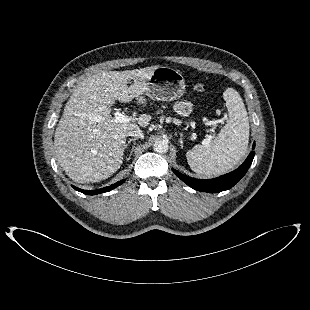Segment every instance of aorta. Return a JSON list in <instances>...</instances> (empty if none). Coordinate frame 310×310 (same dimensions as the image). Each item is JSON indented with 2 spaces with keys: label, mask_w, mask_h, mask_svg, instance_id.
<instances>
[{
  "label": "aorta",
  "mask_w": 310,
  "mask_h": 310,
  "mask_svg": "<svg viewBox=\"0 0 310 310\" xmlns=\"http://www.w3.org/2000/svg\"><path fill=\"white\" fill-rule=\"evenodd\" d=\"M153 149L157 153H166L168 151V142L165 140H158L154 143Z\"/></svg>",
  "instance_id": "1"
}]
</instances>
